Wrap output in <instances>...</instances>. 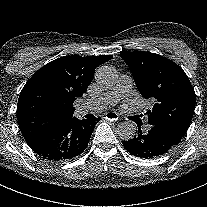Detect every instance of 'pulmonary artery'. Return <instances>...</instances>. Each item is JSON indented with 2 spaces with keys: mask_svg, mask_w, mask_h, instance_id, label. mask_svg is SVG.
I'll return each instance as SVG.
<instances>
[{
  "mask_svg": "<svg viewBox=\"0 0 207 207\" xmlns=\"http://www.w3.org/2000/svg\"><path fill=\"white\" fill-rule=\"evenodd\" d=\"M132 79L129 76L121 75L117 85L110 91L103 93L99 97L90 98L85 101L84 109L86 112H102L114 106L118 100L126 96L131 89Z\"/></svg>",
  "mask_w": 207,
  "mask_h": 207,
  "instance_id": "e3ab8cb5",
  "label": "pulmonary artery"
}]
</instances>
